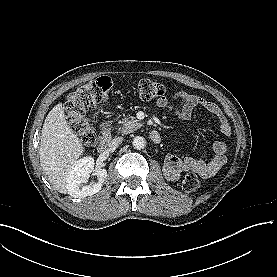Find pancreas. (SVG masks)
<instances>
[{
    "mask_svg": "<svg viewBox=\"0 0 277 277\" xmlns=\"http://www.w3.org/2000/svg\"><path fill=\"white\" fill-rule=\"evenodd\" d=\"M138 125V120H136L133 116H129L122 119L118 130L121 133H129L133 131L135 128H137Z\"/></svg>",
    "mask_w": 277,
    "mask_h": 277,
    "instance_id": "cf45deb5",
    "label": "pancreas"
}]
</instances>
